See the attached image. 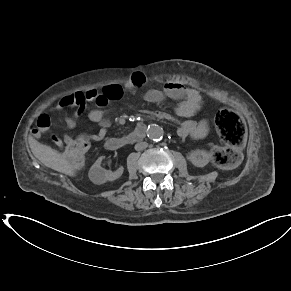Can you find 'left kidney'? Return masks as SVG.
Here are the masks:
<instances>
[{"label":"left kidney","instance_id":"obj_1","mask_svg":"<svg viewBox=\"0 0 291 291\" xmlns=\"http://www.w3.org/2000/svg\"><path fill=\"white\" fill-rule=\"evenodd\" d=\"M187 159L196 167H204L209 163L210 155L205 150H194Z\"/></svg>","mask_w":291,"mask_h":291}]
</instances>
